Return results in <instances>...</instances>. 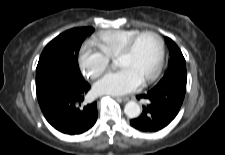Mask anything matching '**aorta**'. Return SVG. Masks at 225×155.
<instances>
[{
  "mask_svg": "<svg viewBox=\"0 0 225 155\" xmlns=\"http://www.w3.org/2000/svg\"><path fill=\"white\" fill-rule=\"evenodd\" d=\"M124 113L129 118H137L141 113L139 104L134 101H129L124 107Z\"/></svg>",
  "mask_w": 225,
  "mask_h": 155,
  "instance_id": "762f6f07",
  "label": "aorta"
}]
</instances>
